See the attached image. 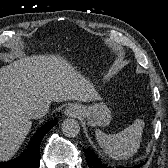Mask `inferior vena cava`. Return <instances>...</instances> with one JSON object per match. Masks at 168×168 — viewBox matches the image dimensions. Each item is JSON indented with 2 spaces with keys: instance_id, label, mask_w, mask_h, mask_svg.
Listing matches in <instances>:
<instances>
[{
  "instance_id": "1",
  "label": "inferior vena cava",
  "mask_w": 168,
  "mask_h": 168,
  "mask_svg": "<svg viewBox=\"0 0 168 168\" xmlns=\"http://www.w3.org/2000/svg\"><path fill=\"white\" fill-rule=\"evenodd\" d=\"M48 112H49V104L41 103L29 111V117L32 119H38L45 116Z\"/></svg>"
}]
</instances>
